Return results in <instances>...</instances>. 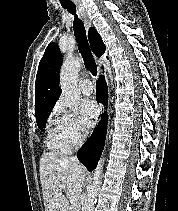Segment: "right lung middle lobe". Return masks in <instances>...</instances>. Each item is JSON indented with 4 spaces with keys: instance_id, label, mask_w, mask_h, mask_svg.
<instances>
[{
    "instance_id": "dd1d6c3e",
    "label": "right lung middle lobe",
    "mask_w": 178,
    "mask_h": 211,
    "mask_svg": "<svg viewBox=\"0 0 178 211\" xmlns=\"http://www.w3.org/2000/svg\"><path fill=\"white\" fill-rule=\"evenodd\" d=\"M51 110H52V107H49V108H46V109L40 111L38 114H35L37 125L40 130H43V128L46 124V120L48 119V116H49V113Z\"/></svg>"
}]
</instances>
